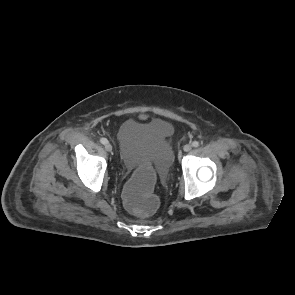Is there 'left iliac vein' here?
Here are the masks:
<instances>
[{
    "label": "left iliac vein",
    "mask_w": 295,
    "mask_h": 295,
    "mask_svg": "<svg viewBox=\"0 0 295 295\" xmlns=\"http://www.w3.org/2000/svg\"><path fill=\"white\" fill-rule=\"evenodd\" d=\"M191 149H192V146H191L190 144H186V145H184V147H183V150H184L185 152H189Z\"/></svg>",
    "instance_id": "1"
}]
</instances>
